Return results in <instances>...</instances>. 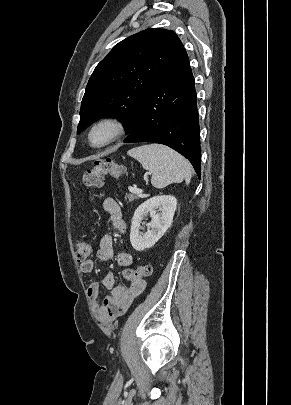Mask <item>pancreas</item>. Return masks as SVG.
<instances>
[{
  "label": "pancreas",
  "instance_id": "obj_1",
  "mask_svg": "<svg viewBox=\"0 0 291 405\" xmlns=\"http://www.w3.org/2000/svg\"><path fill=\"white\" fill-rule=\"evenodd\" d=\"M125 199H128L130 202H132L134 200H137L138 197L135 194H126Z\"/></svg>",
  "mask_w": 291,
  "mask_h": 405
}]
</instances>
